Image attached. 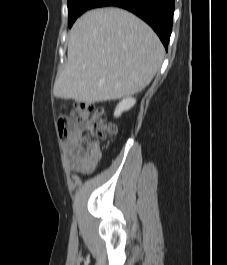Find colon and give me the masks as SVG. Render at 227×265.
I'll return each mask as SVG.
<instances>
[{
	"label": "colon",
	"mask_w": 227,
	"mask_h": 265,
	"mask_svg": "<svg viewBox=\"0 0 227 265\" xmlns=\"http://www.w3.org/2000/svg\"><path fill=\"white\" fill-rule=\"evenodd\" d=\"M76 111L79 119L87 124L88 131L95 140H105L115 134V125L107 121L105 112L101 107H97L94 103L83 102L77 105ZM58 129L60 136L66 139L72 129L70 120L60 118ZM95 145L97 143L91 141L87 148H93Z\"/></svg>",
	"instance_id": "colon-1"
}]
</instances>
